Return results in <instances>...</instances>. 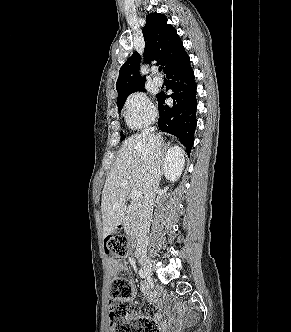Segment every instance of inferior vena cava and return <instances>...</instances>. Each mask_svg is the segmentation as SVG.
<instances>
[{
    "instance_id": "inferior-vena-cava-1",
    "label": "inferior vena cava",
    "mask_w": 291,
    "mask_h": 332,
    "mask_svg": "<svg viewBox=\"0 0 291 332\" xmlns=\"http://www.w3.org/2000/svg\"><path fill=\"white\" fill-rule=\"evenodd\" d=\"M155 128H149L143 132L148 148L146 150V173L144 177L142 205L138 213L137 221V244L136 253L146 254L148 244V234L155 200V194L159 187L160 179L163 173L161 152L158 142L153 132Z\"/></svg>"
}]
</instances>
